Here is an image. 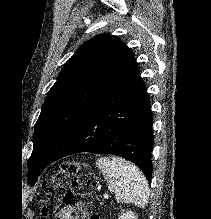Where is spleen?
Segmentation results:
<instances>
[{
  "mask_svg": "<svg viewBox=\"0 0 211 219\" xmlns=\"http://www.w3.org/2000/svg\"><path fill=\"white\" fill-rule=\"evenodd\" d=\"M96 166L104 175L108 189L115 192L117 202L145 207L149 200L148 183L142 172L130 162L114 157H102Z\"/></svg>",
  "mask_w": 211,
  "mask_h": 219,
  "instance_id": "spleen-1",
  "label": "spleen"
}]
</instances>
